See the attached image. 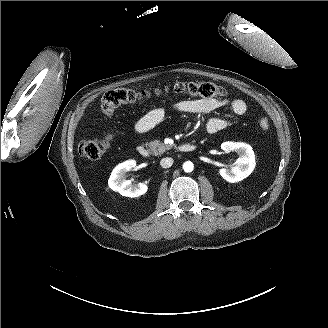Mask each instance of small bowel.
Wrapping results in <instances>:
<instances>
[{"instance_id":"obj_1","label":"small bowel","mask_w":328,"mask_h":328,"mask_svg":"<svg viewBox=\"0 0 328 328\" xmlns=\"http://www.w3.org/2000/svg\"><path fill=\"white\" fill-rule=\"evenodd\" d=\"M228 105L237 115H243L247 110V105L242 99L216 100V99H191L174 104L171 109L176 112L205 114L217 108ZM166 108H156L139 118L134 129L137 133H145L154 128L167 116ZM229 126V122L223 118H212L206 124V130L210 134L218 133Z\"/></svg>"}]
</instances>
